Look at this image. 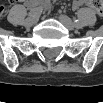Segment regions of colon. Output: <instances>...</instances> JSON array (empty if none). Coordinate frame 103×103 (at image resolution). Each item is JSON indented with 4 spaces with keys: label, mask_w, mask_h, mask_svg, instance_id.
<instances>
[{
    "label": "colon",
    "mask_w": 103,
    "mask_h": 103,
    "mask_svg": "<svg viewBox=\"0 0 103 103\" xmlns=\"http://www.w3.org/2000/svg\"><path fill=\"white\" fill-rule=\"evenodd\" d=\"M88 5L94 9L99 16H103V2L101 0H90ZM4 13V7H0V14Z\"/></svg>",
    "instance_id": "1"
}]
</instances>
